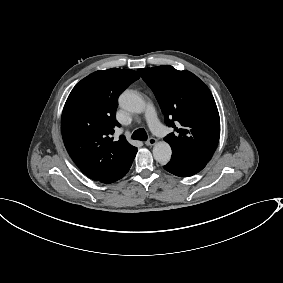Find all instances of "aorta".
Masks as SVG:
<instances>
[{"label":"aorta","instance_id":"aorta-1","mask_svg":"<svg viewBox=\"0 0 283 283\" xmlns=\"http://www.w3.org/2000/svg\"><path fill=\"white\" fill-rule=\"evenodd\" d=\"M119 105L126 111L141 113L145 109L144 100L133 91H125L119 97ZM153 156L161 164H167L172 156V150L168 143L161 141L153 147Z\"/></svg>","mask_w":283,"mask_h":283}]
</instances>
